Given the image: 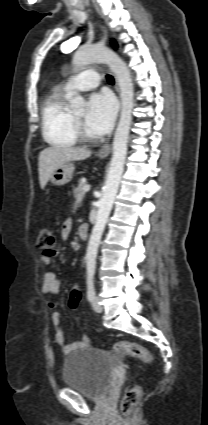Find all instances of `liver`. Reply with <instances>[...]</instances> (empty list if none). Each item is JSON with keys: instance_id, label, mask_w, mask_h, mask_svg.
Here are the masks:
<instances>
[{"instance_id": "obj_1", "label": "liver", "mask_w": 208, "mask_h": 425, "mask_svg": "<svg viewBox=\"0 0 208 425\" xmlns=\"http://www.w3.org/2000/svg\"><path fill=\"white\" fill-rule=\"evenodd\" d=\"M90 150L53 146L42 150L39 154V181L41 189H44L52 173L63 163L85 160L91 156Z\"/></svg>"}]
</instances>
